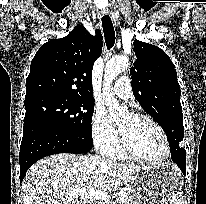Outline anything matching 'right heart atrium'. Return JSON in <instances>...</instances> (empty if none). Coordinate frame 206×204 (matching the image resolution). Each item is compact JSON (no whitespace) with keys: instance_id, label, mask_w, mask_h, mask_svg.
<instances>
[{"instance_id":"1","label":"right heart atrium","mask_w":206,"mask_h":204,"mask_svg":"<svg viewBox=\"0 0 206 204\" xmlns=\"http://www.w3.org/2000/svg\"><path fill=\"white\" fill-rule=\"evenodd\" d=\"M91 135L96 149L102 153L113 145L118 136L116 128L100 108H96L92 115Z\"/></svg>"}]
</instances>
